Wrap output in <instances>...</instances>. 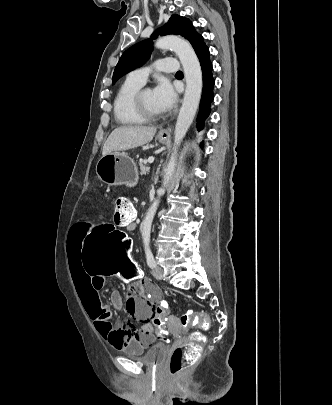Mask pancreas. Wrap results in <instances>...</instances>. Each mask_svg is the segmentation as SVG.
Returning <instances> with one entry per match:
<instances>
[{
    "mask_svg": "<svg viewBox=\"0 0 332 405\" xmlns=\"http://www.w3.org/2000/svg\"><path fill=\"white\" fill-rule=\"evenodd\" d=\"M139 166H140V175L148 174L150 168L146 166V163L144 161H140Z\"/></svg>",
    "mask_w": 332,
    "mask_h": 405,
    "instance_id": "cf45deb5",
    "label": "pancreas"
}]
</instances>
